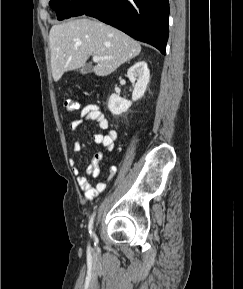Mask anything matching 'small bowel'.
<instances>
[{"instance_id": "c3829d8e", "label": "small bowel", "mask_w": 243, "mask_h": 289, "mask_svg": "<svg viewBox=\"0 0 243 289\" xmlns=\"http://www.w3.org/2000/svg\"><path fill=\"white\" fill-rule=\"evenodd\" d=\"M87 121L96 122L101 130L106 131L105 133H97L93 136V141L97 145L103 146L107 151H111L114 148V143L117 139V132L113 129H109V121L105 117L101 108L95 104H89L82 108L79 116L70 122L69 127L71 130L79 129L83 123ZM84 147V144L76 141L73 145L74 152H79ZM102 159V153L98 152L94 155L91 163L86 168V176L81 175L79 168L76 166L74 159L70 160V163L73 167V172L76 175L77 183L80 189L84 193V197L87 201L93 200L100 193H102L106 188L105 182H98L93 185L90 181V177H98L100 174L99 162ZM116 170L111 168L108 179H111Z\"/></svg>"}]
</instances>
